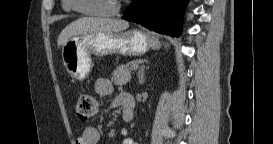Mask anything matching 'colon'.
I'll return each mask as SVG.
<instances>
[{
  "label": "colon",
  "instance_id": "1",
  "mask_svg": "<svg viewBox=\"0 0 273 144\" xmlns=\"http://www.w3.org/2000/svg\"><path fill=\"white\" fill-rule=\"evenodd\" d=\"M98 111V104L95 96L89 90H80L77 96L76 114L86 121Z\"/></svg>",
  "mask_w": 273,
  "mask_h": 144
}]
</instances>
